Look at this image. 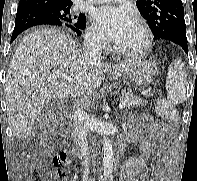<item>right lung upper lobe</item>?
I'll list each match as a JSON object with an SVG mask.
<instances>
[{
  "instance_id": "cb5924a9",
  "label": "right lung upper lobe",
  "mask_w": 197,
  "mask_h": 181,
  "mask_svg": "<svg viewBox=\"0 0 197 181\" xmlns=\"http://www.w3.org/2000/svg\"><path fill=\"white\" fill-rule=\"evenodd\" d=\"M20 3H27L32 5H41V4H54V5H72L71 0H20Z\"/></svg>"
}]
</instances>
